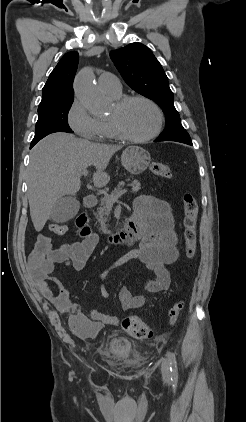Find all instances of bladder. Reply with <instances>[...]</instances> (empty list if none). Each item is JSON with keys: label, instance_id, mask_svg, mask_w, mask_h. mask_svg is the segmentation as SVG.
<instances>
[{"label": "bladder", "instance_id": "1", "mask_svg": "<svg viewBox=\"0 0 246 422\" xmlns=\"http://www.w3.org/2000/svg\"><path fill=\"white\" fill-rule=\"evenodd\" d=\"M104 353L113 359L128 360L132 355V347L129 342L120 338H112L106 345Z\"/></svg>", "mask_w": 246, "mask_h": 422}]
</instances>
